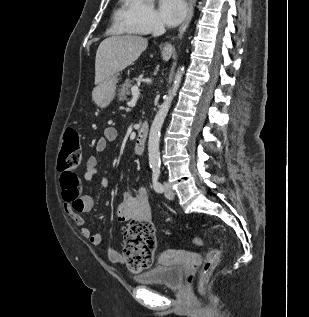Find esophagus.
I'll list each match as a JSON object with an SVG mask.
<instances>
[{
  "instance_id": "1",
  "label": "esophagus",
  "mask_w": 309,
  "mask_h": 317,
  "mask_svg": "<svg viewBox=\"0 0 309 317\" xmlns=\"http://www.w3.org/2000/svg\"><path fill=\"white\" fill-rule=\"evenodd\" d=\"M193 13H194L193 0H190L187 16L178 30L179 35H182L186 31V29H187V27L192 19Z\"/></svg>"
}]
</instances>
